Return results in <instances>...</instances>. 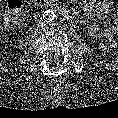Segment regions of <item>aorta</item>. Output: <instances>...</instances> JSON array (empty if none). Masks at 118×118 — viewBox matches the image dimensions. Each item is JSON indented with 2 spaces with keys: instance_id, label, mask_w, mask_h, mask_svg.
I'll list each match as a JSON object with an SVG mask.
<instances>
[{
  "instance_id": "aorta-1",
  "label": "aorta",
  "mask_w": 118,
  "mask_h": 118,
  "mask_svg": "<svg viewBox=\"0 0 118 118\" xmlns=\"http://www.w3.org/2000/svg\"><path fill=\"white\" fill-rule=\"evenodd\" d=\"M55 17H56L55 12L50 9L44 11L42 14V20L47 23L52 22L55 19Z\"/></svg>"
}]
</instances>
